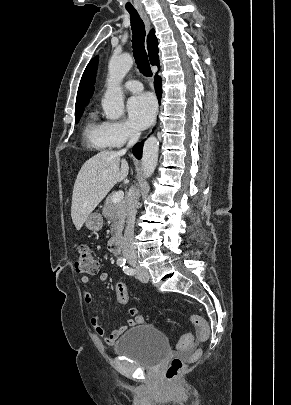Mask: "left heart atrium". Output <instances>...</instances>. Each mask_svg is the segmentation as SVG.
I'll use <instances>...</instances> for the list:
<instances>
[{
  "instance_id": "obj_1",
  "label": "left heart atrium",
  "mask_w": 291,
  "mask_h": 405,
  "mask_svg": "<svg viewBox=\"0 0 291 405\" xmlns=\"http://www.w3.org/2000/svg\"><path fill=\"white\" fill-rule=\"evenodd\" d=\"M127 112L130 123L137 129H144L152 122L156 104L149 94H141L129 99Z\"/></svg>"
}]
</instances>
